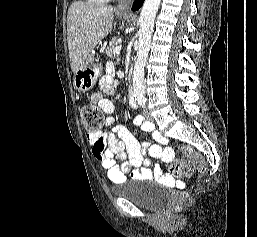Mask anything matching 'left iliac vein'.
Here are the masks:
<instances>
[{"mask_svg":"<svg viewBox=\"0 0 257 237\" xmlns=\"http://www.w3.org/2000/svg\"><path fill=\"white\" fill-rule=\"evenodd\" d=\"M144 114H145V117L147 120H149V121L153 120V117L148 109H145Z\"/></svg>","mask_w":257,"mask_h":237,"instance_id":"obj_1","label":"left iliac vein"}]
</instances>
